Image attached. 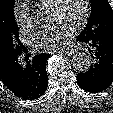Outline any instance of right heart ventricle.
<instances>
[{"instance_id": "e07e8e85", "label": "right heart ventricle", "mask_w": 113, "mask_h": 113, "mask_svg": "<svg viewBox=\"0 0 113 113\" xmlns=\"http://www.w3.org/2000/svg\"><path fill=\"white\" fill-rule=\"evenodd\" d=\"M35 1L37 3H40V4H48V5H51L54 0H35Z\"/></svg>"}]
</instances>
